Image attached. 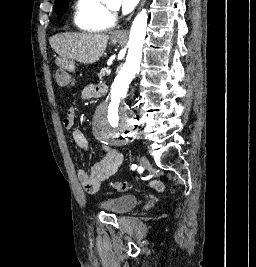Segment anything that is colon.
<instances>
[{"mask_svg":"<svg viewBox=\"0 0 256 267\" xmlns=\"http://www.w3.org/2000/svg\"><path fill=\"white\" fill-rule=\"evenodd\" d=\"M55 81L56 84L61 88H67L70 87L73 84L71 74L70 73H64L63 71H56L55 72ZM149 187L162 192L165 190L164 184L159 180H153L149 183ZM130 185L123 182H113L111 183V189L115 192H126L129 190Z\"/></svg>","mask_w":256,"mask_h":267,"instance_id":"5ec220e1","label":"colon"}]
</instances>
